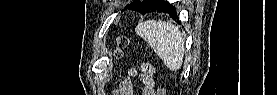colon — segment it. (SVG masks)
Masks as SVG:
<instances>
[{"label":"colon","mask_w":277,"mask_h":95,"mask_svg":"<svg viewBox=\"0 0 277 95\" xmlns=\"http://www.w3.org/2000/svg\"><path fill=\"white\" fill-rule=\"evenodd\" d=\"M118 50L116 51V56L120 55V49L125 47L129 43V38L127 36H119L116 39Z\"/></svg>","instance_id":"obj_1"}]
</instances>
